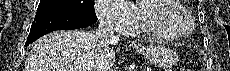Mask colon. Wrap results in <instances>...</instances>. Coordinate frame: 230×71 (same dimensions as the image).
Segmentation results:
<instances>
[{"mask_svg": "<svg viewBox=\"0 0 230 71\" xmlns=\"http://www.w3.org/2000/svg\"><path fill=\"white\" fill-rule=\"evenodd\" d=\"M180 70H181V71H192V70L189 69V68H181Z\"/></svg>", "mask_w": 230, "mask_h": 71, "instance_id": "5ec220e1", "label": "colon"}]
</instances>
